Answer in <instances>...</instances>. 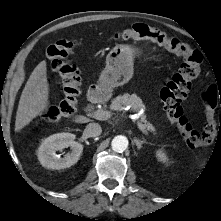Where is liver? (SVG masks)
<instances>
[{
  "label": "liver",
  "mask_w": 221,
  "mask_h": 221,
  "mask_svg": "<svg viewBox=\"0 0 221 221\" xmlns=\"http://www.w3.org/2000/svg\"><path fill=\"white\" fill-rule=\"evenodd\" d=\"M46 61H41L31 73L19 100L16 113L15 131L18 132L48 107L49 84ZM75 122L86 123L89 119L78 115Z\"/></svg>",
  "instance_id": "1"
}]
</instances>
